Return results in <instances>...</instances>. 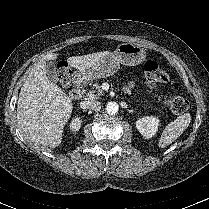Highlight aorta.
Returning a JSON list of instances; mask_svg holds the SVG:
<instances>
[{
    "mask_svg": "<svg viewBox=\"0 0 209 209\" xmlns=\"http://www.w3.org/2000/svg\"><path fill=\"white\" fill-rule=\"evenodd\" d=\"M105 109L109 115H115L118 112V105L115 102H109Z\"/></svg>",
    "mask_w": 209,
    "mask_h": 209,
    "instance_id": "aorta-1",
    "label": "aorta"
}]
</instances>
